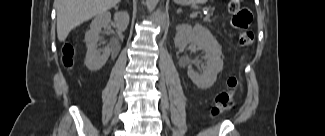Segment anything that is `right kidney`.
<instances>
[{"instance_id":"obj_1","label":"right kidney","mask_w":325,"mask_h":136,"mask_svg":"<svg viewBox=\"0 0 325 136\" xmlns=\"http://www.w3.org/2000/svg\"><path fill=\"white\" fill-rule=\"evenodd\" d=\"M111 22V14L105 11L97 15L90 25V30L85 34V43L87 54L85 64L90 71L100 70L107 62L110 56V48L97 49V42L100 40L101 29H107ZM129 23V15L127 12H116L114 15V26L119 32L126 30Z\"/></svg>"}]
</instances>
